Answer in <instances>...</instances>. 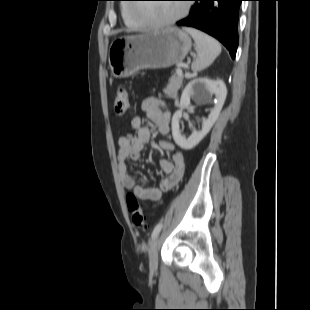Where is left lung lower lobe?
I'll list each match as a JSON object with an SVG mask.
<instances>
[{
    "mask_svg": "<svg viewBox=\"0 0 310 310\" xmlns=\"http://www.w3.org/2000/svg\"><path fill=\"white\" fill-rule=\"evenodd\" d=\"M190 15L177 22L190 26L218 39L234 59L238 47L239 7L243 0H192Z\"/></svg>",
    "mask_w": 310,
    "mask_h": 310,
    "instance_id": "left-lung-lower-lobe-1",
    "label": "left lung lower lobe"
}]
</instances>
